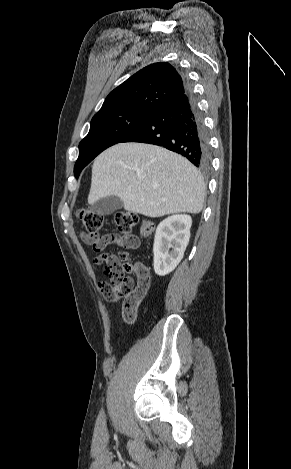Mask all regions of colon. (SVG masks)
Returning <instances> with one entry per match:
<instances>
[{"instance_id":"obj_1","label":"colon","mask_w":291,"mask_h":469,"mask_svg":"<svg viewBox=\"0 0 291 469\" xmlns=\"http://www.w3.org/2000/svg\"><path fill=\"white\" fill-rule=\"evenodd\" d=\"M85 229L86 236L92 246L100 253L109 244H118L126 247L133 245L134 241L130 236L131 231L140 223V234L149 237L154 225L148 219L140 221L139 216L134 212L122 211L115 215V225L117 232L106 234L104 229V217L92 210L82 209L78 213ZM97 264H104L106 274L112 285L107 282L99 285L101 292L110 301L122 300V316L125 322L133 323L137 316L138 307L145 296L144 288L135 286L141 278H146L147 271L140 264H131L127 261V255L121 254L120 258L107 259L102 255L95 259Z\"/></svg>"}]
</instances>
